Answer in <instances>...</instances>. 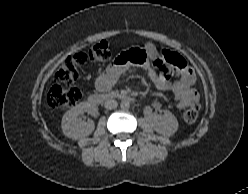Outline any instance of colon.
I'll list each match as a JSON object with an SVG mask.
<instances>
[{"mask_svg":"<svg viewBox=\"0 0 248 194\" xmlns=\"http://www.w3.org/2000/svg\"><path fill=\"white\" fill-rule=\"evenodd\" d=\"M142 54L141 50H132L123 54L126 60L135 61ZM167 55L168 51H163ZM111 52L107 41H101L94 44L87 52H78L64 60L55 74V84L50 88L47 103L54 109H67L76 105L81 97L82 92L74 86H65L71 84L78 77L79 68L86 61L106 62L110 60ZM157 63L161 64L159 54H154ZM199 103L191 104L184 112L183 118L186 123H194L199 115Z\"/></svg>","mask_w":248,"mask_h":194,"instance_id":"5ec220e1","label":"colon"}]
</instances>
